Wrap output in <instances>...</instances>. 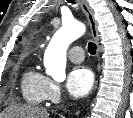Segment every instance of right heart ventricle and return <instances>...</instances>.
Masks as SVG:
<instances>
[{
	"label": "right heart ventricle",
	"instance_id": "1",
	"mask_svg": "<svg viewBox=\"0 0 133 118\" xmlns=\"http://www.w3.org/2000/svg\"><path fill=\"white\" fill-rule=\"evenodd\" d=\"M47 77L34 67H29L21 78V94L31 105H40L46 100Z\"/></svg>",
	"mask_w": 133,
	"mask_h": 118
}]
</instances>
